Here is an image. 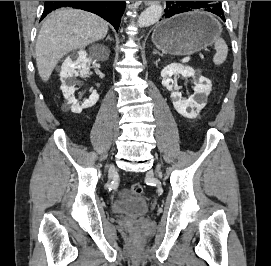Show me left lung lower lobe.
Wrapping results in <instances>:
<instances>
[{
    "mask_svg": "<svg viewBox=\"0 0 271 266\" xmlns=\"http://www.w3.org/2000/svg\"><path fill=\"white\" fill-rule=\"evenodd\" d=\"M201 9L219 16L225 21L224 12L220 1H166L164 18H169L175 14Z\"/></svg>",
    "mask_w": 271,
    "mask_h": 266,
    "instance_id": "1",
    "label": "left lung lower lobe"
}]
</instances>
